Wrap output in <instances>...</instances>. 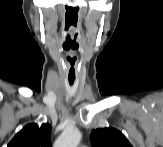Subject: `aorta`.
I'll return each mask as SVG.
<instances>
[{"label":"aorta","mask_w":163,"mask_h":147,"mask_svg":"<svg viewBox=\"0 0 163 147\" xmlns=\"http://www.w3.org/2000/svg\"><path fill=\"white\" fill-rule=\"evenodd\" d=\"M81 139L79 130L75 127L66 128L56 140L55 147H77Z\"/></svg>","instance_id":"aorta-1"}]
</instances>
